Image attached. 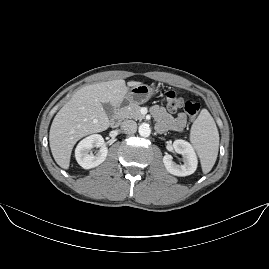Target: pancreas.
<instances>
[{
    "instance_id": "obj_1",
    "label": "pancreas",
    "mask_w": 269,
    "mask_h": 269,
    "mask_svg": "<svg viewBox=\"0 0 269 269\" xmlns=\"http://www.w3.org/2000/svg\"><path fill=\"white\" fill-rule=\"evenodd\" d=\"M141 107L137 104H130L129 107L123 108L120 110L119 114L122 119H135L142 120L145 118L143 114L140 112Z\"/></svg>"
}]
</instances>
